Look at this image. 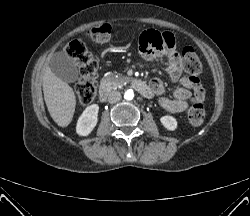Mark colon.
Masks as SVG:
<instances>
[{
  "mask_svg": "<svg viewBox=\"0 0 250 216\" xmlns=\"http://www.w3.org/2000/svg\"><path fill=\"white\" fill-rule=\"evenodd\" d=\"M113 36L110 26L104 25L92 29L88 33L89 39L96 44L108 43ZM65 53L79 66L81 79L76 86V94L79 105L86 106L93 101L97 91L96 74L98 69L97 60L87 47L80 41L69 42L65 46ZM179 58L182 71L196 77L202 71V64L191 47L183 49ZM188 119L193 125H201L205 119V108L202 101H196L188 112Z\"/></svg>",
  "mask_w": 250,
  "mask_h": 216,
  "instance_id": "1",
  "label": "colon"
}]
</instances>
